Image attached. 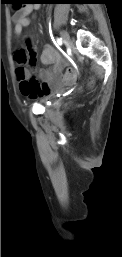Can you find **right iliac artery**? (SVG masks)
Masks as SVG:
<instances>
[{
    "mask_svg": "<svg viewBox=\"0 0 122 257\" xmlns=\"http://www.w3.org/2000/svg\"><path fill=\"white\" fill-rule=\"evenodd\" d=\"M55 42V41H54ZM55 44L62 45V40L60 38H57Z\"/></svg>",
    "mask_w": 122,
    "mask_h": 257,
    "instance_id": "1",
    "label": "right iliac artery"
}]
</instances>
